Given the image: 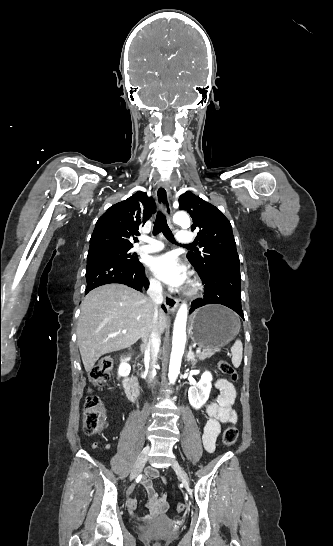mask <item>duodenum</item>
<instances>
[{
	"label": "duodenum",
	"mask_w": 333,
	"mask_h": 546,
	"mask_svg": "<svg viewBox=\"0 0 333 546\" xmlns=\"http://www.w3.org/2000/svg\"><path fill=\"white\" fill-rule=\"evenodd\" d=\"M128 357H129L128 353L124 354L123 357H122V361L124 363L127 362ZM123 383H124L125 391H126L128 397L132 401H136L137 399L140 398L142 389H141L140 384L138 383V381L134 377L124 376Z\"/></svg>",
	"instance_id": "1"
}]
</instances>
